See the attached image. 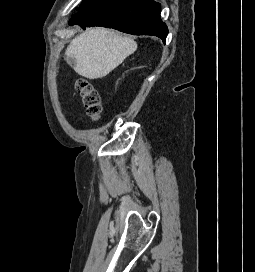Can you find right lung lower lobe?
Returning <instances> with one entry per match:
<instances>
[{"mask_svg":"<svg viewBox=\"0 0 255 272\" xmlns=\"http://www.w3.org/2000/svg\"><path fill=\"white\" fill-rule=\"evenodd\" d=\"M82 28L103 26L133 35H152L165 41L168 29L161 21L160 4L153 0H91L69 20Z\"/></svg>","mask_w":255,"mask_h":272,"instance_id":"obj_1","label":"right lung lower lobe"}]
</instances>
